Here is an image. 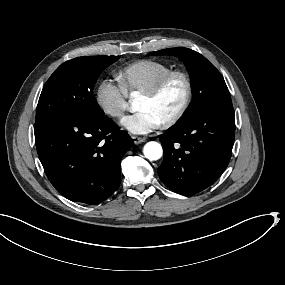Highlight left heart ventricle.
<instances>
[{"mask_svg": "<svg viewBox=\"0 0 285 285\" xmlns=\"http://www.w3.org/2000/svg\"><path fill=\"white\" fill-rule=\"evenodd\" d=\"M181 94V84L175 81L159 94L142 101L157 117L163 121L177 106Z\"/></svg>", "mask_w": 285, "mask_h": 285, "instance_id": "obj_1", "label": "left heart ventricle"}]
</instances>
